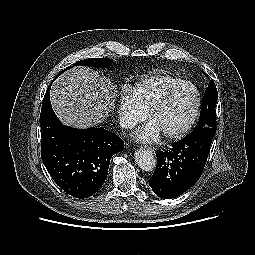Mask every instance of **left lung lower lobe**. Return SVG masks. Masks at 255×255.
Listing matches in <instances>:
<instances>
[{
    "label": "left lung lower lobe",
    "instance_id": "left-lung-lower-lobe-1",
    "mask_svg": "<svg viewBox=\"0 0 255 255\" xmlns=\"http://www.w3.org/2000/svg\"><path fill=\"white\" fill-rule=\"evenodd\" d=\"M216 128L194 130L170 150L157 153V166L149 185L165 199L175 198L191 188L200 178Z\"/></svg>",
    "mask_w": 255,
    "mask_h": 255
}]
</instances>
